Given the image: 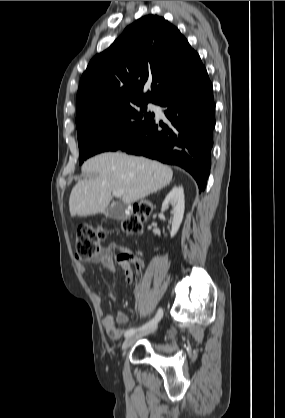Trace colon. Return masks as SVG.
<instances>
[{
    "instance_id": "colon-1",
    "label": "colon",
    "mask_w": 285,
    "mask_h": 418,
    "mask_svg": "<svg viewBox=\"0 0 285 418\" xmlns=\"http://www.w3.org/2000/svg\"><path fill=\"white\" fill-rule=\"evenodd\" d=\"M150 215V206L147 202H142L136 205L133 215L122 220V230L127 235H132L140 232L141 223L145 221ZM104 231L101 228L86 225L78 228L75 244H76V259L82 262H88L99 250L101 241L104 239ZM135 268L140 267V261L128 256L122 259Z\"/></svg>"
}]
</instances>
